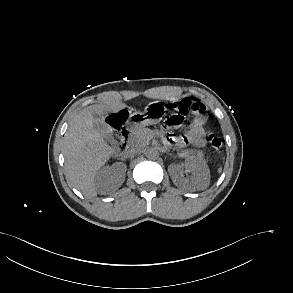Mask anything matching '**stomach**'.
Segmentation results:
<instances>
[{
	"label": "stomach",
	"instance_id": "stomach-1",
	"mask_svg": "<svg viewBox=\"0 0 293 293\" xmlns=\"http://www.w3.org/2000/svg\"><path fill=\"white\" fill-rule=\"evenodd\" d=\"M167 108L161 101L150 102L144 112H133L129 118V125L133 129L158 124L165 116Z\"/></svg>",
	"mask_w": 293,
	"mask_h": 293
}]
</instances>
